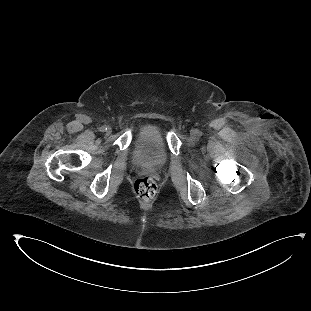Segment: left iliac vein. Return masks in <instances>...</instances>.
Here are the masks:
<instances>
[{
	"label": "left iliac vein",
	"mask_w": 311,
	"mask_h": 311,
	"mask_svg": "<svg viewBox=\"0 0 311 311\" xmlns=\"http://www.w3.org/2000/svg\"><path fill=\"white\" fill-rule=\"evenodd\" d=\"M190 136H191V138L195 139L196 136H197V131L196 130H191Z\"/></svg>",
	"instance_id": "4c4485c4"
}]
</instances>
